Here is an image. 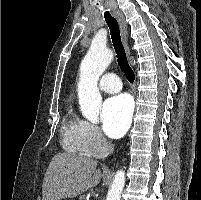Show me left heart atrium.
<instances>
[{
    "instance_id": "left-heart-atrium-1",
    "label": "left heart atrium",
    "mask_w": 201,
    "mask_h": 200,
    "mask_svg": "<svg viewBox=\"0 0 201 200\" xmlns=\"http://www.w3.org/2000/svg\"><path fill=\"white\" fill-rule=\"evenodd\" d=\"M133 114L129 96L118 95L109 98L103 105L102 122L104 132L111 138H120L128 130Z\"/></svg>"
}]
</instances>
